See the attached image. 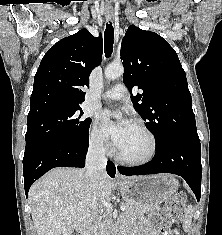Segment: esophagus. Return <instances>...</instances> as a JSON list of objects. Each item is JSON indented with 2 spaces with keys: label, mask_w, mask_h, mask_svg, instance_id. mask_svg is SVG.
<instances>
[{
  "label": "esophagus",
  "mask_w": 222,
  "mask_h": 235,
  "mask_svg": "<svg viewBox=\"0 0 222 235\" xmlns=\"http://www.w3.org/2000/svg\"><path fill=\"white\" fill-rule=\"evenodd\" d=\"M112 16H113V11H112V9H106V10H105V18H106V20H110V19L112 18ZM116 167H117V166H116ZM115 180H116L117 182H121V181H124V180H125L124 177L118 172V170H117V172H116Z\"/></svg>",
  "instance_id": "1"
}]
</instances>
